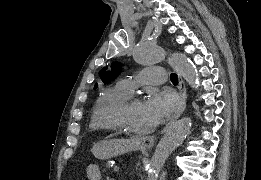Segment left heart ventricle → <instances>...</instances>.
Wrapping results in <instances>:
<instances>
[{
    "instance_id": "obj_1",
    "label": "left heart ventricle",
    "mask_w": 261,
    "mask_h": 180,
    "mask_svg": "<svg viewBox=\"0 0 261 180\" xmlns=\"http://www.w3.org/2000/svg\"><path fill=\"white\" fill-rule=\"evenodd\" d=\"M119 119L125 128L132 134L145 135L156 124L147 111L142 99L135 101L119 114Z\"/></svg>"
}]
</instances>
